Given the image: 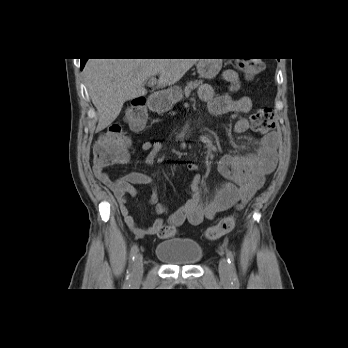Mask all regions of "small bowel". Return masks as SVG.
<instances>
[{"label":"small bowel","mask_w":348,"mask_h":348,"mask_svg":"<svg viewBox=\"0 0 348 348\" xmlns=\"http://www.w3.org/2000/svg\"><path fill=\"white\" fill-rule=\"evenodd\" d=\"M223 81L227 84L230 92L240 89V78L236 71L226 70L222 74ZM199 96L207 104L208 110L214 115H223L231 112L246 114L251 110L250 98L242 96L233 99L229 94H216L212 85L204 83L199 87ZM250 128L247 117L242 116L233 125V131L237 134L244 133ZM278 136L270 133L264 136L257 149L243 155H224L218 162V169L228 179V182L220 189L218 194L209 202L204 203L199 186L200 176L195 175L193 182L187 185L186 191L190 198L186 203L166 219L162 216L148 227L139 226L131 215L127 201L134 197L137 191L136 184H151L155 186L153 178L144 173H128L116 179H111L104 167L94 165L93 172L96 178L106 185L115 195L120 213L129 230L138 237L152 236L159 233L161 228L179 226L188 221L192 225H200L205 220L214 219L219 213L229 210L235 203L247 204L255 193L263 186L265 178L276 167L277 164ZM141 151L147 152L146 163L152 166L162 150V144L158 141H145L139 145ZM129 155L119 162L127 163ZM188 168L197 171L195 164H189ZM160 195L155 189L150 203L155 205L158 215H165L168 207L159 202Z\"/></svg>","instance_id":"1"}]
</instances>
